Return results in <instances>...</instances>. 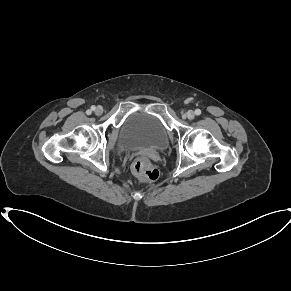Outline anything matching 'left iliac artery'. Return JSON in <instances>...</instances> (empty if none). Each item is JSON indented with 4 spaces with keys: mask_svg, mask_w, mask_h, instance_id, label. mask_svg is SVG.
Masks as SVG:
<instances>
[{
    "mask_svg": "<svg viewBox=\"0 0 291 291\" xmlns=\"http://www.w3.org/2000/svg\"><path fill=\"white\" fill-rule=\"evenodd\" d=\"M195 114H196V115H200V114H201V110H200V109H196V110H195Z\"/></svg>",
    "mask_w": 291,
    "mask_h": 291,
    "instance_id": "44dca946",
    "label": "left iliac artery"
}]
</instances>
